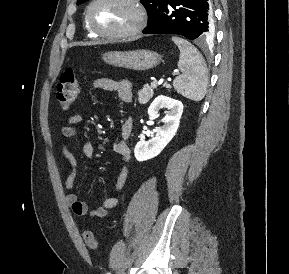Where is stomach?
<instances>
[{
	"label": "stomach",
	"mask_w": 289,
	"mask_h": 274,
	"mask_svg": "<svg viewBox=\"0 0 289 274\" xmlns=\"http://www.w3.org/2000/svg\"><path fill=\"white\" fill-rule=\"evenodd\" d=\"M104 62L133 70H147L156 67L162 60L160 54L150 50L111 51L102 55Z\"/></svg>",
	"instance_id": "stomach-1"
}]
</instances>
